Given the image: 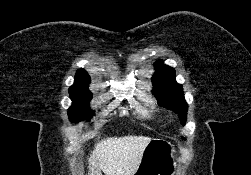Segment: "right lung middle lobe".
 Returning a JSON list of instances; mask_svg holds the SVG:
<instances>
[{
    "instance_id": "1",
    "label": "right lung middle lobe",
    "mask_w": 251,
    "mask_h": 175,
    "mask_svg": "<svg viewBox=\"0 0 251 175\" xmlns=\"http://www.w3.org/2000/svg\"><path fill=\"white\" fill-rule=\"evenodd\" d=\"M72 106L68 110V116L71 122H79L90 119L94 113L89 108V102L92 93L88 88L73 87L69 89Z\"/></svg>"
}]
</instances>
